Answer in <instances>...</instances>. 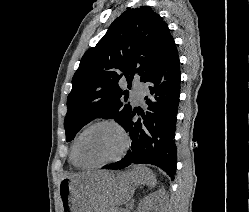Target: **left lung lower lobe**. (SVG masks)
<instances>
[{
  "instance_id": "1",
  "label": "left lung lower lobe",
  "mask_w": 249,
  "mask_h": 212,
  "mask_svg": "<svg viewBox=\"0 0 249 212\" xmlns=\"http://www.w3.org/2000/svg\"><path fill=\"white\" fill-rule=\"evenodd\" d=\"M146 83L145 111L134 108L126 115L122 127L129 132L131 150L120 161L103 169H121L131 164H152L172 179L176 173V115L180 95V66L174 40L161 52L141 80ZM141 116L137 121L134 116Z\"/></svg>"
}]
</instances>
